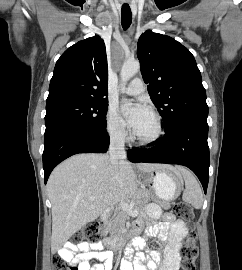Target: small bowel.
Here are the masks:
<instances>
[{
	"label": "small bowel",
	"mask_w": 242,
	"mask_h": 270,
	"mask_svg": "<svg viewBox=\"0 0 242 270\" xmlns=\"http://www.w3.org/2000/svg\"><path fill=\"white\" fill-rule=\"evenodd\" d=\"M160 222L153 224L149 229V235L157 236L165 243L163 255L158 251H150L149 256L143 252L137 253L134 270H157L162 262L164 270H178L180 263L181 241L187 233V227L183 221L177 220L171 213H161L157 205H150L146 218L139 219L135 225V231L139 232L145 221L159 219ZM136 248H143L145 241L137 239L134 243ZM59 254L71 265H75L77 270H111L113 266V254L103 250L101 241L92 243H81L78 245L67 243ZM96 259L100 263L91 264L90 261ZM127 270H133L128 266Z\"/></svg>",
	"instance_id": "obj_1"
}]
</instances>
